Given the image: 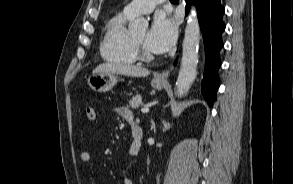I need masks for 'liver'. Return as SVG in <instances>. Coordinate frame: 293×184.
<instances>
[{
	"label": "liver",
	"instance_id": "6515ba94",
	"mask_svg": "<svg viewBox=\"0 0 293 184\" xmlns=\"http://www.w3.org/2000/svg\"><path fill=\"white\" fill-rule=\"evenodd\" d=\"M93 72H111L132 77H145L150 74L149 70L136 65L109 62L98 65Z\"/></svg>",
	"mask_w": 293,
	"mask_h": 184
}]
</instances>
